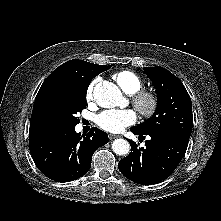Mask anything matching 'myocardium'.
<instances>
[{"instance_id":"f54148a6","label":"myocardium","mask_w":221,"mask_h":221,"mask_svg":"<svg viewBox=\"0 0 221 221\" xmlns=\"http://www.w3.org/2000/svg\"><path fill=\"white\" fill-rule=\"evenodd\" d=\"M132 103L138 112L144 117H152L158 110V95L149 89H140L132 94Z\"/></svg>"}]
</instances>
